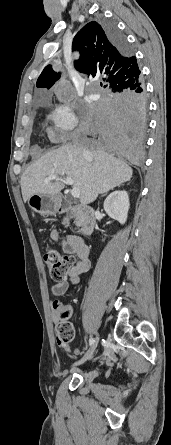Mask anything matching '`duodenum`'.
<instances>
[{
  "mask_svg": "<svg viewBox=\"0 0 171 445\" xmlns=\"http://www.w3.org/2000/svg\"><path fill=\"white\" fill-rule=\"evenodd\" d=\"M58 212L61 215H69L74 217L79 222L81 233L84 237H88L92 234L95 227V214L91 207L81 205L73 212L72 207L69 205L66 197L64 195H60L58 197Z\"/></svg>",
  "mask_w": 171,
  "mask_h": 445,
  "instance_id": "410a0bca",
  "label": "duodenum"
}]
</instances>
